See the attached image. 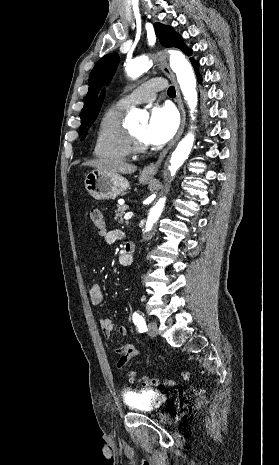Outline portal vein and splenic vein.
<instances>
[{"label":"portal vein and splenic vein","mask_w":279,"mask_h":465,"mask_svg":"<svg viewBox=\"0 0 279 465\" xmlns=\"http://www.w3.org/2000/svg\"><path fill=\"white\" fill-rule=\"evenodd\" d=\"M132 217H133V213H132V212H128V213H126V214L124 215V219H125V220H129V219H131Z\"/></svg>","instance_id":"portal-vein-and-splenic-vein-1"}]
</instances>
